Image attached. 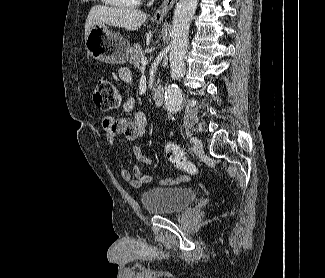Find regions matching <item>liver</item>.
<instances>
[{
    "instance_id": "6515ba94",
    "label": "liver",
    "mask_w": 325,
    "mask_h": 278,
    "mask_svg": "<svg viewBox=\"0 0 325 278\" xmlns=\"http://www.w3.org/2000/svg\"><path fill=\"white\" fill-rule=\"evenodd\" d=\"M147 19V14L131 8L95 5L91 8L85 23V39L94 25L107 24L126 30H138Z\"/></svg>"
}]
</instances>
